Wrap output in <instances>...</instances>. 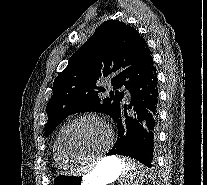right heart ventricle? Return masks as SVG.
I'll return each instance as SVG.
<instances>
[{
	"label": "right heart ventricle",
	"mask_w": 207,
	"mask_h": 185,
	"mask_svg": "<svg viewBox=\"0 0 207 185\" xmlns=\"http://www.w3.org/2000/svg\"><path fill=\"white\" fill-rule=\"evenodd\" d=\"M67 124H64L58 131L54 145L53 153L55 161L61 166H70L78 163L80 160L71 159L62 148V134L66 128Z\"/></svg>",
	"instance_id": "obj_1"
}]
</instances>
